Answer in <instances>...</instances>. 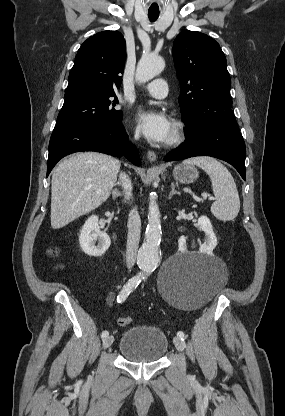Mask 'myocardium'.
I'll use <instances>...</instances> for the list:
<instances>
[{"mask_svg": "<svg viewBox=\"0 0 285 416\" xmlns=\"http://www.w3.org/2000/svg\"><path fill=\"white\" fill-rule=\"evenodd\" d=\"M182 137H183L182 129H181V127L179 125L176 124L174 126L173 133H172V135H171V137H170L167 145L168 146H176V145H178L181 142Z\"/></svg>", "mask_w": 285, "mask_h": 416, "instance_id": "myocardium-1", "label": "myocardium"}]
</instances>
